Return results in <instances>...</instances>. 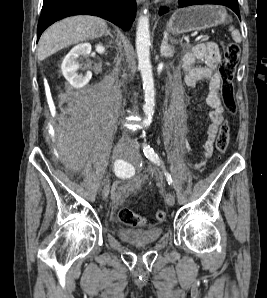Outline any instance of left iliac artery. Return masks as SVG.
I'll return each mask as SVG.
<instances>
[{
    "instance_id": "1",
    "label": "left iliac artery",
    "mask_w": 267,
    "mask_h": 298,
    "mask_svg": "<svg viewBox=\"0 0 267 298\" xmlns=\"http://www.w3.org/2000/svg\"><path fill=\"white\" fill-rule=\"evenodd\" d=\"M143 152H144V155L146 156V158H148L151 162L158 164V165L161 164L159 156L153 150V148L149 144L146 143V139L144 140V143H143ZM164 174H165L168 184L171 185L172 178H171L170 173L165 170Z\"/></svg>"
}]
</instances>
